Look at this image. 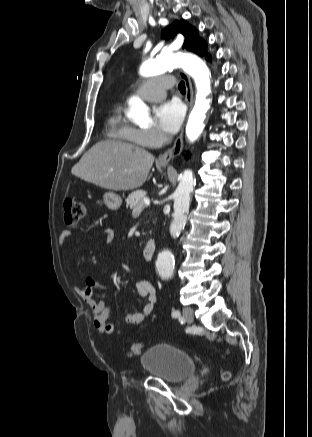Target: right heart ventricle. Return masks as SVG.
<instances>
[{
	"mask_svg": "<svg viewBox=\"0 0 312 437\" xmlns=\"http://www.w3.org/2000/svg\"><path fill=\"white\" fill-rule=\"evenodd\" d=\"M107 128L109 136L115 141L133 145H142L136 136V129L133 128L123 117L119 107L110 115Z\"/></svg>",
	"mask_w": 312,
	"mask_h": 437,
	"instance_id": "e07e8e85",
	"label": "right heart ventricle"
}]
</instances>
